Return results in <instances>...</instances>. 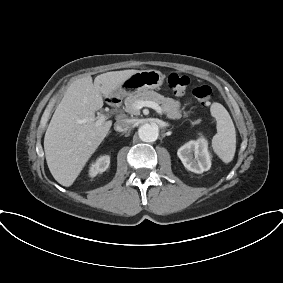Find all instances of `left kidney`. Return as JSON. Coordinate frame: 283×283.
<instances>
[{
    "label": "left kidney",
    "mask_w": 283,
    "mask_h": 283,
    "mask_svg": "<svg viewBox=\"0 0 283 283\" xmlns=\"http://www.w3.org/2000/svg\"><path fill=\"white\" fill-rule=\"evenodd\" d=\"M177 155L185 168L194 173L201 174L211 167L208 143L204 138L187 142L178 149Z\"/></svg>",
    "instance_id": "5707ae66"
}]
</instances>
